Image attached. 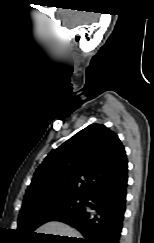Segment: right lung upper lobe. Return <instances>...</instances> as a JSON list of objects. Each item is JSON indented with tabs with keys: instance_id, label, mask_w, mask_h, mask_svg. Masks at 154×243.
I'll return each mask as SVG.
<instances>
[{
	"instance_id": "right-lung-upper-lobe-1",
	"label": "right lung upper lobe",
	"mask_w": 154,
	"mask_h": 243,
	"mask_svg": "<svg viewBox=\"0 0 154 243\" xmlns=\"http://www.w3.org/2000/svg\"><path fill=\"white\" fill-rule=\"evenodd\" d=\"M125 167L126 153L116 133L91 124L48 154L34 173L23 205L61 195L86 197Z\"/></svg>"
}]
</instances>
